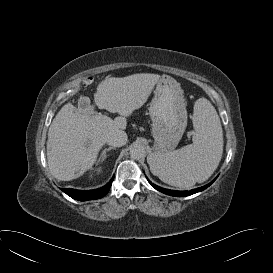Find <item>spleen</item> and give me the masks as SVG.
<instances>
[{"label": "spleen", "instance_id": "obj_1", "mask_svg": "<svg viewBox=\"0 0 273 273\" xmlns=\"http://www.w3.org/2000/svg\"><path fill=\"white\" fill-rule=\"evenodd\" d=\"M193 127L192 144L148 156L152 174L164 183L188 188L206 181L218 167L223 153V131L215 108L206 98L195 102Z\"/></svg>", "mask_w": 273, "mask_h": 273}]
</instances>
